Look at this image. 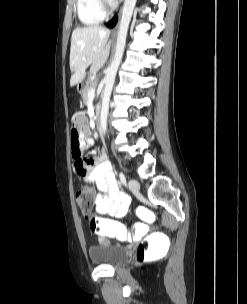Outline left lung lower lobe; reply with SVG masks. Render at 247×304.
I'll return each mask as SVG.
<instances>
[{
    "instance_id": "1",
    "label": "left lung lower lobe",
    "mask_w": 247,
    "mask_h": 304,
    "mask_svg": "<svg viewBox=\"0 0 247 304\" xmlns=\"http://www.w3.org/2000/svg\"><path fill=\"white\" fill-rule=\"evenodd\" d=\"M117 22V16H115L111 21L107 23L108 27H113Z\"/></svg>"
}]
</instances>
